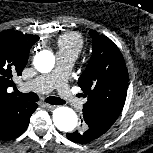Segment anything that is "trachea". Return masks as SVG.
Returning <instances> with one entry per match:
<instances>
[{
	"label": "trachea",
	"instance_id": "3493384b",
	"mask_svg": "<svg viewBox=\"0 0 153 153\" xmlns=\"http://www.w3.org/2000/svg\"><path fill=\"white\" fill-rule=\"evenodd\" d=\"M17 96L21 97L22 99L24 100H27V101H32V102H36L39 100V97L36 93H33V92H30V93H22V92H19V91H16L15 93ZM45 101L49 104H52V105H62V104H65V101L62 100L61 98H58V97H47L45 99Z\"/></svg>",
	"mask_w": 153,
	"mask_h": 153
}]
</instances>
